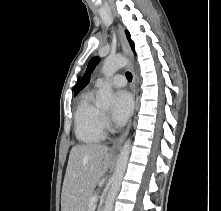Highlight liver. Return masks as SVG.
I'll return each instance as SVG.
<instances>
[{"mask_svg": "<svg viewBox=\"0 0 221 211\" xmlns=\"http://www.w3.org/2000/svg\"><path fill=\"white\" fill-rule=\"evenodd\" d=\"M111 153L100 144L74 146L64 177L61 211H84V202L107 172Z\"/></svg>", "mask_w": 221, "mask_h": 211, "instance_id": "6515ba94", "label": "liver"}]
</instances>
